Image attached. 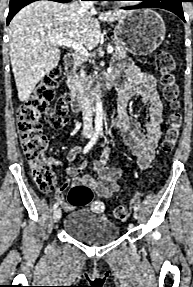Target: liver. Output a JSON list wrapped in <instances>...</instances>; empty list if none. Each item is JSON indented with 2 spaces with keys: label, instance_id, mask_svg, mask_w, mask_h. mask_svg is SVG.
Wrapping results in <instances>:
<instances>
[{
  "label": "liver",
  "instance_id": "liver-1",
  "mask_svg": "<svg viewBox=\"0 0 193 287\" xmlns=\"http://www.w3.org/2000/svg\"><path fill=\"white\" fill-rule=\"evenodd\" d=\"M131 13L114 10L100 14L77 2H33L20 10L9 24V53L18 98L26 101L45 74L57 67L58 45L51 38H68L93 49L101 36L100 22H113Z\"/></svg>",
  "mask_w": 193,
  "mask_h": 287
}]
</instances>
